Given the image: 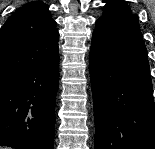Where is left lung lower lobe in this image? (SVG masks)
Returning <instances> with one entry per match:
<instances>
[{
    "instance_id": "left-lung-lower-lobe-1",
    "label": "left lung lower lobe",
    "mask_w": 155,
    "mask_h": 149,
    "mask_svg": "<svg viewBox=\"0 0 155 149\" xmlns=\"http://www.w3.org/2000/svg\"><path fill=\"white\" fill-rule=\"evenodd\" d=\"M95 149H155V104L137 15L97 20L90 50Z\"/></svg>"
}]
</instances>
